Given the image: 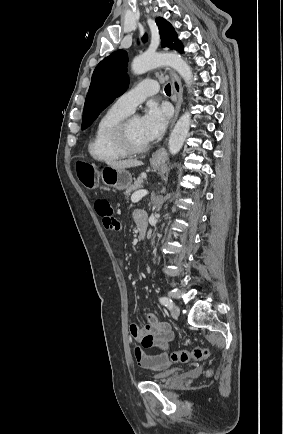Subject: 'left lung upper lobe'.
I'll return each mask as SVG.
<instances>
[{"label": "left lung upper lobe", "instance_id": "5c2ea615", "mask_svg": "<svg viewBox=\"0 0 283 434\" xmlns=\"http://www.w3.org/2000/svg\"><path fill=\"white\" fill-rule=\"evenodd\" d=\"M156 24L159 28L161 46L183 53V45L178 40L172 25L161 17L156 18ZM142 40L146 41L147 36L145 35ZM127 63L126 51L118 50L97 65L84 104L82 129L89 127L99 113L127 90L129 85Z\"/></svg>", "mask_w": 283, "mask_h": 434}]
</instances>
